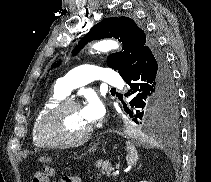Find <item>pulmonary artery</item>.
I'll return each instance as SVG.
<instances>
[{
    "label": "pulmonary artery",
    "mask_w": 211,
    "mask_h": 182,
    "mask_svg": "<svg viewBox=\"0 0 211 182\" xmlns=\"http://www.w3.org/2000/svg\"><path fill=\"white\" fill-rule=\"evenodd\" d=\"M98 79L113 86H118L122 83L121 77L114 70L97 65L85 64L63 76L57 82L55 88L61 94L67 96L73 89Z\"/></svg>",
    "instance_id": "obj_1"
}]
</instances>
